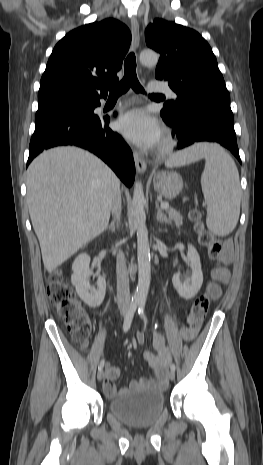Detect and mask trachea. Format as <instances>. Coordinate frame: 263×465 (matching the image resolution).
Masks as SVG:
<instances>
[{
  "mask_svg": "<svg viewBox=\"0 0 263 465\" xmlns=\"http://www.w3.org/2000/svg\"><path fill=\"white\" fill-rule=\"evenodd\" d=\"M110 91V96H120L131 87L136 93H144V89L138 81L136 74V57L133 52L129 53L124 62V77L113 85H106ZM151 97H162L160 94H152Z\"/></svg>",
  "mask_w": 263,
  "mask_h": 465,
  "instance_id": "3493384b",
  "label": "trachea"
}]
</instances>
